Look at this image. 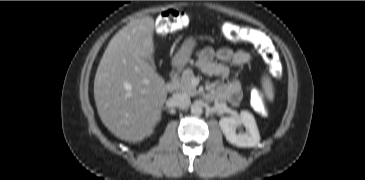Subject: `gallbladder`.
Here are the masks:
<instances>
[{"label": "gallbladder", "mask_w": 365, "mask_h": 180, "mask_svg": "<svg viewBox=\"0 0 365 180\" xmlns=\"http://www.w3.org/2000/svg\"><path fill=\"white\" fill-rule=\"evenodd\" d=\"M146 61L149 63V65L155 70L156 67H155V64L153 62V60L151 58H146Z\"/></svg>", "instance_id": "obj_1"}]
</instances>
